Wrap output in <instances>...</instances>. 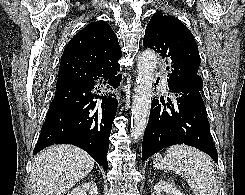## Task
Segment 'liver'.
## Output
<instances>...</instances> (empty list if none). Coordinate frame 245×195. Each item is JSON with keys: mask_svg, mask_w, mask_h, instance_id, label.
Listing matches in <instances>:
<instances>
[{"mask_svg": "<svg viewBox=\"0 0 245 195\" xmlns=\"http://www.w3.org/2000/svg\"><path fill=\"white\" fill-rule=\"evenodd\" d=\"M94 159L69 144L54 145L40 152L33 164V195H64L94 168Z\"/></svg>", "mask_w": 245, "mask_h": 195, "instance_id": "liver-1", "label": "liver"}]
</instances>
